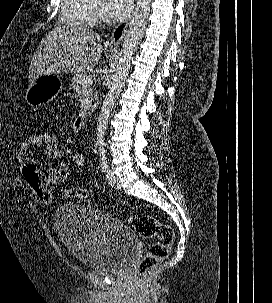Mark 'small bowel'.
Returning <instances> with one entry per match:
<instances>
[{"label": "small bowel", "mask_w": 272, "mask_h": 303, "mask_svg": "<svg viewBox=\"0 0 272 303\" xmlns=\"http://www.w3.org/2000/svg\"><path fill=\"white\" fill-rule=\"evenodd\" d=\"M37 135L29 136L27 139L18 143L16 147L17 161L21 167L25 168V161L23 157L29 153L32 149L40 148ZM46 155L51 159H59L61 157V151L59 148L56 149H44ZM40 184L44 188H48L52 185L64 183L69 177V171L66 167L55 166L45 170L36 171Z\"/></svg>", "instance_id": "1"}]
</instances>
